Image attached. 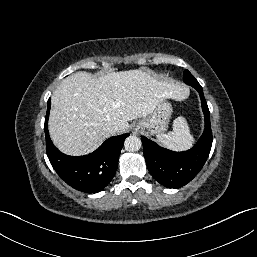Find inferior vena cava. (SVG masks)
I'll return each mask as SVG.
<instances>
[{"instance_id":"1","label":"inferior vena cava","mask_w":257,"mask_h":257,"mask_svg":"<svg viewBox=\"0 0 257 257\" xmlns=\"http://www.w3.org/2000/svg\"><path fill=\"white\" fill-rule=\"evenodd\" d=\"M106 129L110 134H115L118 131V126H108Z\"/></svg>"}]
</instances>
